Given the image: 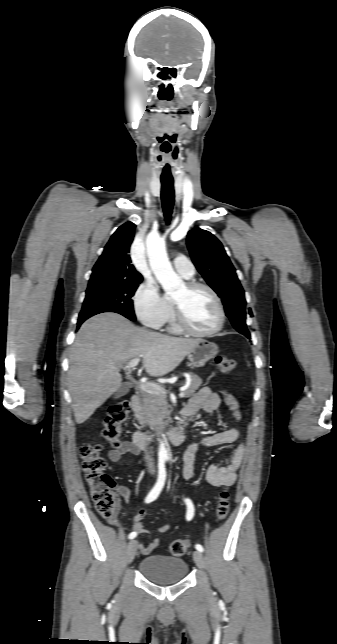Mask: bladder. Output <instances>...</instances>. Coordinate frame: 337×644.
I'll list each match as a JSON object with an SVG mask.
<instances>
[{"instance_id": "31cf9c89", "label": "bladder", "mask_w": 337, "mask_h": 644, "mask_svg": "<svg viewBox=\"0 0 337 644\" xmlns=\"http://www.w3.org/2000/svg\"><path fill=\"white\" fill-rule=\"evenodd\" d=\"M139 572L153 583L167 585L182 581L188 574V565L181 558L150 555L140 561Z\"/></svg>"}]
</instances>
